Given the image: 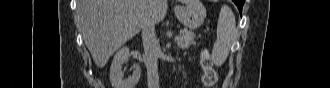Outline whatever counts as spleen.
<instances>
[{
	"instance_id": "obj_1",
	"label": "spleen",
	"mask_w": 330,
	"mask_h": 88,
	"mask_svg": "<svg viewBox=\"0 0 330 88\" xmlns=\"http://www.w3.org/2000/svg\"><path fill=\"white\" fill-rule=\"evenodd\" d=\"M237 38L235 16L227 5H223L217 23V40L212 50V60L215 65L221 66L226 61L230 47Z\"/></svg>"
}]
</instances>
